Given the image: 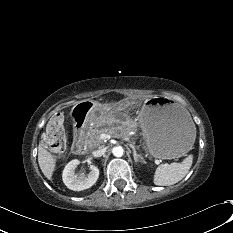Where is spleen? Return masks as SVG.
<instances>
[{"mask_svg":"<svg viewBox=\"0 0 233 233\" xmlns=\"http://www.w3.org/2000/svg\"><path fill=\"white\" fill-rule=\"evenodd\" d=\"M193 156L189 155L182 163L161 164L154 175V184L158 186H170L182 180L192 165Z\"/></svg>","mask_w":233,"mask_h":233,"instance_id":"spleen-1","label":"spleen"}]
</instances>
